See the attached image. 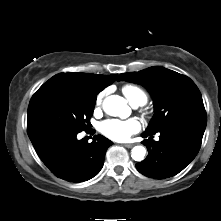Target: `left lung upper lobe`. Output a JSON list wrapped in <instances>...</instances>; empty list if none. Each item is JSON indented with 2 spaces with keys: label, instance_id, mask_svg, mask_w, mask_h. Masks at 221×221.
I'll return each instance as SVG.
<instances>
[{
  "label": "left lung upper lobe",
  "instance_id": "left-lung-upper-lobe-1",
  "mask_svg": "<svg viewBox=\"0 0 221 221\" xmlns=\"http://www.w3.org/2000/svg\"><path fill=\"white\" fill-rule=\"evenodd\" d=\"M117 80L141 84L152 95L155 114L144 133H156L183 119H206L201 93L185 75L154 66L139 72L122 73Z\"/></svg>",
  "mask_w": 221,
  "mask_h": 221
}]
</instances>
